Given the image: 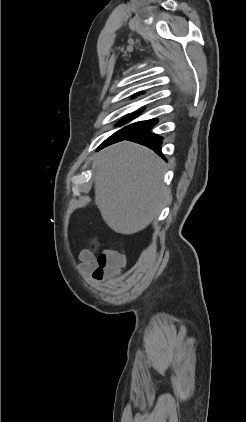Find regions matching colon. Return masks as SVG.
<instances>
[{"label":"colon","instance_id":"obj_1","mask_svg":"<svg viewBox=\"0 0 246 422\" xmlns=\"http://www.w3.org/2000/svg\"><path fill=\"white\" fill-rule=\"evenodd\" d=\"M98 243L94 242L93 249H97ZM125 259L123 255L110 248L103 249L97 257V266L93 272L95 279H103L105 276L114 275L124 265Z\"/></svg>","mask_w":246,"mask_h":422}]
</instances>
